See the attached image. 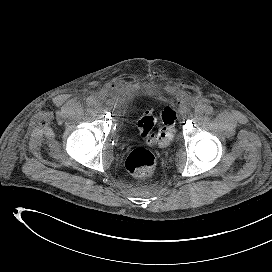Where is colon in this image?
I'll return each instance as SVG.
<instances>
[{
    "mask_svg": "<svg viewBox=\"0 0 272 272\" xmlns=\"http://www.w3.org/2000/svg\"><path fill=\"white\" fill-rule=\"evenodd\" d=\"M176 113L167 107L161 114V125L153 132L156 119L149 111L145 112L138 122L141 136L150 144L167 145L173 139L175 133ZM156 165L152 152L145 148H136L128 155L126 169L136 177L150 176Z\"/></svg>",
    "mask_w": 272,
    "mask_h": 272,
    "instance_id": "colon-1",
    "label": "colon"
}]
</instances>
